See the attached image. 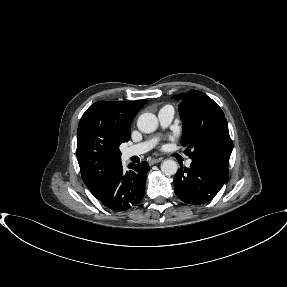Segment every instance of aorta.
<instances>
[{"instance_id":"aorta-1","label":"aorta","mask_w":287,"mask_h":287,"mask_svg":"<svg viewBox=\"0 0 287 287\" xmlns=\"http://www.w3.org/2000/svg\"><path fill=\"white\" fill-rule=\"evenodd\" d=\"M137 127L143 133H152L158 127V119L153 113H143L137 120ZM178 165L174 160H164L161 164V171L166 175H174Z\"/></svg>"}]
</instances>
